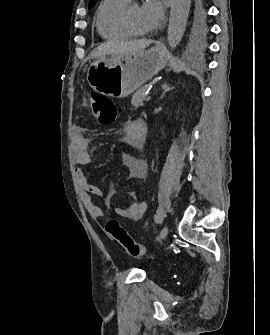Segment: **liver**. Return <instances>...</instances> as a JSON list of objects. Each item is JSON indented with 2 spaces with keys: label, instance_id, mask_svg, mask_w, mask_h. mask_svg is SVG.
Listing matches in <instances>:
<instances>
[{
  "label": "liver",
  "instance_id": "liver-1",
  "mask_svg": "<svg viewBox=\"0 0 270 335\" xmlns=\"http://www.w3.org/2000/svg\"><path fill=\"white\" fill-rule=\"evenodd\" d=\"M152 40H136V42H124V44H119V46H113V44H100L98 48H95L91 52L92 58H104L108 54H118V56H124V54H134V52H141L145 50Z\"/></svg>",
  "mask_w": 270,
  "mask_h": 335
}]
</instances>
